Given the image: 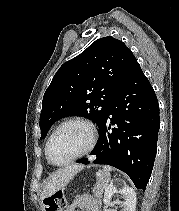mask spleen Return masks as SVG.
Returning a JSON list of instances; mask_svg holds the SVG:
<instances>
[{
  "label": "spleen",
  "mask_w": 179,
  "mask_h": 211,
  "mask_svg": "<svg viewBox=\"0 0 179 211\" xmlns=\"http://www.w3.org/2000/svg\"><path fill=\"white\" fill-rule=\"evenodd\" d=\"M104 169H105V170H110L109 168H106V167H105Z\"/></svg>",
  "instance_id": "1"
}]
</instances>
